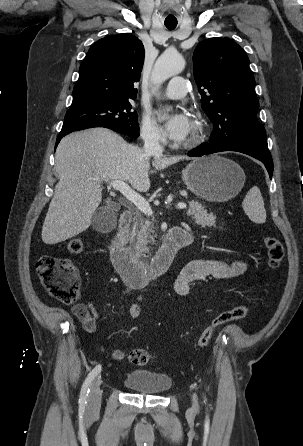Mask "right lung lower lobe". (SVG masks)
I'll use <instances>...</instances> for the list:
<instances>
[{
	"instance_id": "right-lung-lower-lobe-1",
	"label": "right lung lower lobe",
	"mask_w": 303,
	"mask_h": 446,
	"mask_svg": "<svg viewBox=\"0 0 303 446\" xmlns=\"http://www.w3.org/2000/svg\"><path fill=\"white\" fill-rule=\"evenodd\" d=\"M92 127H105V128H109V129H112V130H114V131L119 132L117 129H115V128L109 126V125H104V124H100V123L85 124V125H82V126H79V127L75 128V129H72V130H70V131L60 133V134L58 135V137H57L55 147H57L58 143L60 142V140H61L65 135H67V134H69V133H71V132H73V131L82 130V129H87V128H92Z\"/></svg>"
}]
</instances>
